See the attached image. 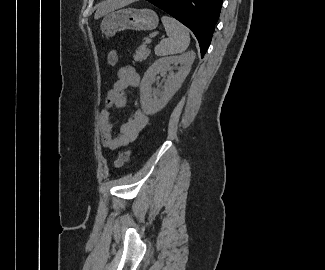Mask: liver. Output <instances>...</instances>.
I'll return each mask as SVG.
<instances>
[{
  "label": "liver",
  "mask_w": 325,
  "mask_h": 270,
  "mask_svg": "<svg viewBox=\"0 0 325 270\" xmlns=\"http://www.w3.org/2000/svg\"><path fill=\"white\" fill-rule=\"evenodd\" d=\"M130 0H106L97 5L94 18L97 20L108 13L127 5Z\"/></svg>",
  "instance_id": "obj_1"
}]
</instances>
